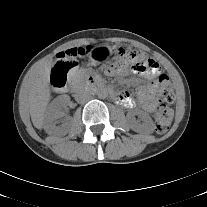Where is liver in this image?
Returning <instances> with one entry per match:
<instances>
[{"label":"liver","mask_w":207,"mask_h":207,"mask_svg":"<svg viewBox=\"0 0 207 207\" xmlns=\"http://www.w3.org/2000/svg\"><path fill=\"white\" fill-rule=\"evenodd\" d=\"M52 58L32 69L25 77L21 96L27 103L31 120L37 129L44 127L45 112L51 99L50 74Z\"/></svg>","instance_id":"liver-1"}]
</instances>
